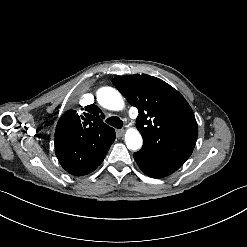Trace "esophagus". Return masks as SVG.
Masks as SVG:
<instances>
[{
  "label": "esophagus",
  "mask_w": 247,
  "mask_h": 247,
  "mask_svg": "<svg viewBox=\"0 0 247 247\" xmlns=\"http://www.w3.org/2000/svg\"><path fill=\"white\" fill-rule=\"evenodd\" d=\"M123 134H124V130H122V129L116 130V136L118 138H121L123 136Z\"/></svg>",
  "instance_id": "1"
}]
</instances>
